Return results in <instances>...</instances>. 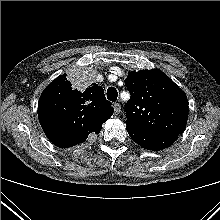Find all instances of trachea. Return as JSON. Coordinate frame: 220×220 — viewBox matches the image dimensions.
Wrapping results in <instances>:
<instances>
[{"instance_id": "1", "label": "trachea", "mask_w": 220, "mask_h": 220, "mask_svg": "<svg viewBox=\"0 0 220 220\" xmlns=\"http://www.w3.org/2000/svg\"><path fill=\"white\" fill-rule=\"evenodd\" d=\"M118 92L116 88L114 87H109L107 89V99H109L112 102H115L117 100Z\"/></svg>"}]
</instances>
